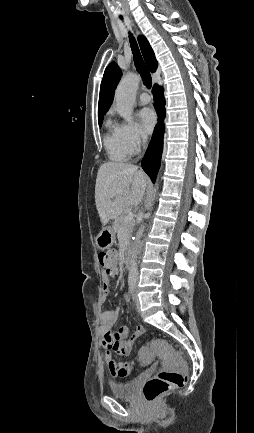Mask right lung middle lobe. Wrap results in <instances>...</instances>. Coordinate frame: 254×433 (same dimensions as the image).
<instances>
[{"instance_id": "obj_1", "label": "right lung middle lobe", "mask_w": 254, "mask_h": 433, "mask_svg": "<svg viewBox=\"0 0 254 433\" xmlns=\"http://www.w3.org/2000/svg\"><path fill=\"white\" fill-rule=\"evenodd\" d=\"M102 122H103V121H99V126H101V125H102Z\"/></svg>"}]
</instances>
